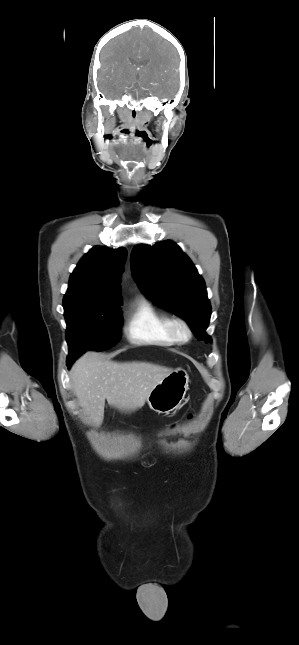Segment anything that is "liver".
I'll use <instances>...</instances> for the list:
<instances>
[{
  "label": "liver",
  "mask_w": 299,
  "mask_h": 645,
  "mask_svg": "<svg viewBox=\"0 0 299 645\" xmlns=\"http://www.w3.org/2000/svg\"><path fill=\"white\" fill-rule=\"evenodd\" d=\"M172 371L146 362L104 360L99 353L89 351L74 363L70 378L89 424L99 427L105 400L121 411H135L143 407L151 390Z\"/></svg>",
  "instance_id": "liver-1"
}]
</instances>
